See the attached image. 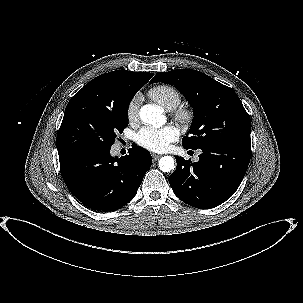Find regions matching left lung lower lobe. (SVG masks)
Returning a JSON list of instances; mask_svg holds the SVG:
<instances>
[{
    "label": "left lung lower lobe",
    "instance_id": "0a47b994",
    "mask_svg": "<svg viewBox=\"0 0 303 303\" xmlns=\"http://www.w3.org/2000/svg\"><path fill=\"white\" fill-rule=\"evenodd\" d=\"M199 149L202 153L198 162L175 156L177 168L168 180L184 203L210 209L225 202L238 189L250 162L251 143L211 142Z\"/></svg>",
    "mask_w": 303,
    "mask_h": 303
}]
</instances>
